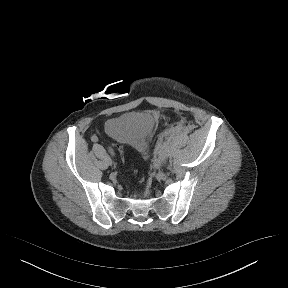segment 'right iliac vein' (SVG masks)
<instances>
[{
    "label": "right iliac vein",
    "mask_w": 288,
    "mask_h": 288,
    "mask_svg": "<svg viewBox=\"0 0 288 288\" xmlns=\"http://www.w3.org/2000/svg\"><path fill=\"white\" fill-rule=\"evenodd\" d=\"M108 162H109L110 165H112V159H111V157H108Z\"/></svg>",
    "instance_id": "1"
}]
</instances>
